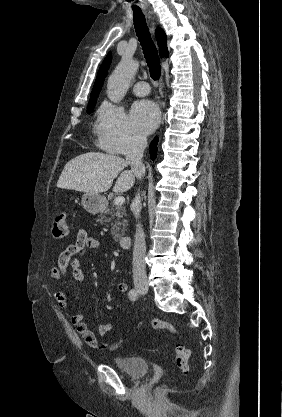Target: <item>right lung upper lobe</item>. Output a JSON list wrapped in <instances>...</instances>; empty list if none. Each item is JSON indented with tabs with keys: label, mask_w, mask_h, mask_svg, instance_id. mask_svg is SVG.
<instances>
[{
	"label": "right lung upper lobe",
	"mask_w": 282,
	"mask_h": 417,
	"mask_svg": "<svg viewBox=\"0 0 282 417\" xmlns=\"http://www.w3.org/2000/svg\"><path fill=\"white\" fill-rule=\"evenodd\" d=\"M156 39H157L158 46H159L160 56L167 57L168 50L166 46V35L161 28L156 29ZM111 60H112V54L111 52H109L106 58L104 59V62L101 64L99 68L97 79L95 80V84H94V87L90 96L99 95V92L103 85V81L105 79V76L107 75V70L110 66Z\"/></svg>",
	"instance_id": "obj_1"
}]
</instances>
